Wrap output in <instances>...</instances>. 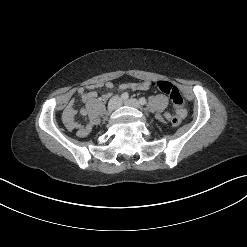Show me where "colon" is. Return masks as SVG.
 <instances>
[{
  "instance_id": "5ec220e1",
  "label": "colon",
  "mask_w": 247,
  "mask_h": 247,
  "mask_svg": "<svg viewBox=\"0 0 247 247\" xmlns=\"http://www.w3.org/2000/svg\"><path fill=\"white\" fill-rule=\"evenodd\" d=\"M151 86L166 94L172 101L175 109L178 111L183 107L184 99L179 89L169 81L159 80L151 83ZM181 123V116L177 113L171 119L173 127H178Z\"/></svg>"
}]
</instances>
